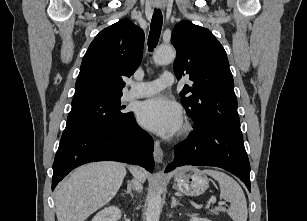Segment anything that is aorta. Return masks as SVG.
<instances>
[{
    "label": "aorta",
    "instance_id": "1",
    "mask_svg": "<svg viewBox=\"0 0 307 221\" xmlns=\"http://www.w3.org/2000/svg\"><path fill=\"white\" fill-rule=\"evenodd\" d=\"M176 51L171 46H160L154 54V62L157 65H166L174 61ZM162 208L160 188L158 186L150 192L147 199L146 221H159Z\"/></svg>",
    "mask_w": 307,
    "mask_h": 221
}]
</instances>
